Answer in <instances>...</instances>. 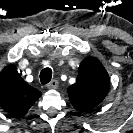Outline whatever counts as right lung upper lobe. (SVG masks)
Returning <instances> with one entry per match:
<instances>
[{
    "label": "right lung upper lobe",
    "mask_w": 133,
    "mask_h": 133,
    "mask_svg": "<svg viewBox=\"0 0 133 133\" xmlns=\"http://www.w3.org/2000/svg\"><path fill=\"white\" fill-rule=\"evenodd\" d=\"M41 95L13 67L8 66L0 73V106L6 112L22 117Z\"/></svg>",
    "instance_id": "obj_1"
}]
</instances>
